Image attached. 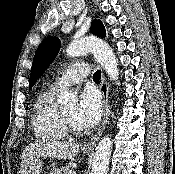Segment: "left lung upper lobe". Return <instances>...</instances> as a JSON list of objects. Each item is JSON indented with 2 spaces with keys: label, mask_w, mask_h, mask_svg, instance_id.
<instances>
[{
  "label": "left lung upper lobe",
  "mask_w": 175,
  "mask_h": 174,
  "mask_svg": "<svg viewBox=\"0 0 175 174\" xmlns=\"http://www.w3.org/2000/svg\"><path fill=\"white\" fill-rule=\"evenodd\" d=\"M90 31L100 37H105V28L100 20H94ZM60 40L57 37H49L45 39L37 49L33 65L31 68V75L29 81V88L31 89L35 84L37 78L46 70L49 64L54 60L60 49Z\"/></svg>",
  "instance_id": "obj_1"
}]
</instances>
